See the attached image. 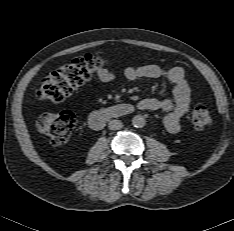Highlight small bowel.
Returning <instances> with one entry per match:
<instances>
[{
	"instance_id": "1",
	"label": "small bowel",
	"mask_w": 234,
	"mask_h": 231,
	"mask_svg": "<svg viewBox=\"0 0 234 231\" xmlns=\"http://www.w3.org/2000/svg\"><path fill=\"white\" fill-rule=\"evenodd\" d=\"M125 77L130 81L141 78H165L173 84V99L146 98L137 103L139 110H162L167 114L163 119L164 126L169 133H178L182 128V118L191 105V91L182 67L175 66L163 70L155 64L131 66L125 70ZM100 81L108 83L114 80V74L102 71L98 74Z\"/></svg>"
}]
</instances>
